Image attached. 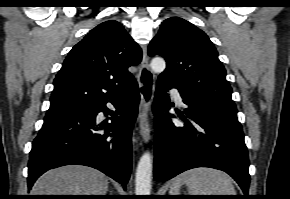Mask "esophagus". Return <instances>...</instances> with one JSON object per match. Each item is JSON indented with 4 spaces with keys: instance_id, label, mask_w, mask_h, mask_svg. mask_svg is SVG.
<instances>
[{
    "instance_id": "1",
    "label": "esophagus",
    "mask_w": 290,
    "mask_h": 199,
    "mask_svg": "<svg viewBox=\"0 0 290 199\" xmlns=\"http://www.w3.org/2000/svg\"><path fill=\"white\" fill-rule=\"evenodd\" d=\"M139 92L141 95V111L139 113V132L145 142L150 140V124L148 111L153 100L155 88V75L151 71L148 62L146 47L143 49V57L138 74Z\"/></svg>"
}]
</instances>
